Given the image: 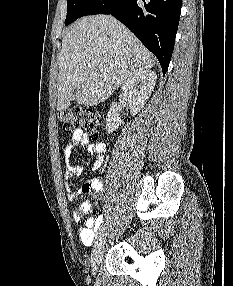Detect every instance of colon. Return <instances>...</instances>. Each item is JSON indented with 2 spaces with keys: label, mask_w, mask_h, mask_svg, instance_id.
I'll list each match as a JSON object with an SVG mask.
<instances>
[{
  "label": "colon",
  "mask_w": 233,
  "mask_h": 286,
  "mask_svg": "<svg viewBox=\"0 0 233 286\" xmlns=\"http://www.w3.org/2000/svg\"><path fill=\"white\" fill-rule=\"evenodd\" d=\"M60 120L63 122L64 130L72 131L76 127H81L91 140L98 137L102 119L100 115L91 108L77 107L71 110L61 112ZM98 181H88L83 185V190L88 193L97 192L101 188Z\"/></svg>",
  "instance_id": "colon-1"
}]
</instances>
